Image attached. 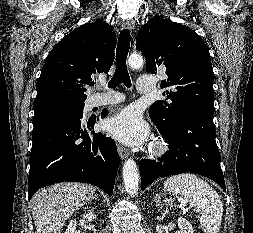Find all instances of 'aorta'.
<instances>
[{"label":"aorta","instance_id":"762f6f07","mask_svg":"<svg viewBox=\"0 0 253 233\" xmlns=\"http://www.w3.org/2000/svg\"><path fill=\"white\" fill-rule=\"evenodd\" d=\"M128 64L131 68H140L143 65V57L141 55L132 54L128 59ZM123 181L126 190L130 195H134L139 187L138 168L133 159H128L123 165Z\"/></svg>","mask_w":253,"mask_h":233}]
</instances>
